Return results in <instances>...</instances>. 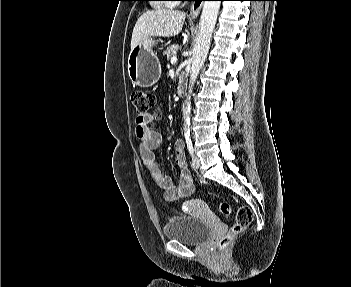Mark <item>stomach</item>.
Segmentation results:
<instances>
[{
    "label": "stomach",
    "mask_w": 351,
    "mask_h": 287,
    "mask_svg": "<svg viewBox=\"0 0 351 287\" xmlns=\"http://www.w3.org/2000/svg\"><path fill=\"white\" fill-rule=\"evenodd\" d=\"M157 41L151 37L141 40L128 57L131 81L143 88L153 86L161 76V65L152 47Z\"/></svg>",
    "instance_id": "1"
}]
</instances>
